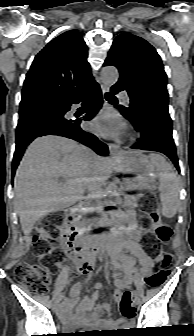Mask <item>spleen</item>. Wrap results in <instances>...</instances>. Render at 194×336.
<instances>
[{"label":"spleen","instance_id":"3e777b00","mask_svg":"<svg viewBox=\"0 0 194 336\" xmlns=\"http://www.w3.org/2000/svg\"><path fill=\"white\" fill-rule=\"evenodd\" d=\"M149 159L158 171L160 181V201L162 214L167 218L173 217L178 209L180 182L166 159L156 153H151Z\"/></svg>","mask_w":194,"mask_h":336}]
</instances>
